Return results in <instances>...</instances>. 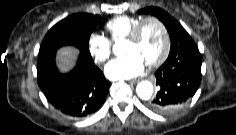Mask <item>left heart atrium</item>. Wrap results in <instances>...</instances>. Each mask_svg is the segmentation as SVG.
<instances>
[{
    "mask_svg": "<svg viewBox=\"0 0 236 135\" xmlns=\"http://www.w3.org/2000/svg\"><path fill=\"white\" fill-rule=\"evenodd\" d=\"M145 61L135 53L110 61L105 67V75L112 80L130 79L140 75Z\"/></svg>",
    "mask_w": 236,
    "mask_h": 135,
    "instance_id": "obj_1",
    "label": "left heart atrium"
}]
</instances>
